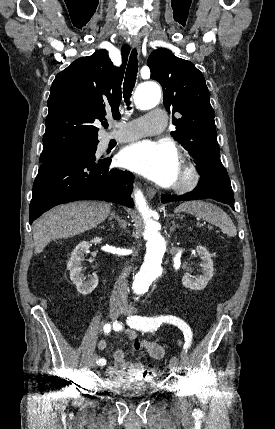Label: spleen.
Wrapping results in <instances>:
<instances>
[{"label": "spleen", "instance_id": "1", "mask_svg": "<svg viewBox=\"0 0 275 429\" xmlns=\"http://www.w3.org/2000/svg\"><path fill=\"white\" fill-rule=\"evenodd\" d=\"M175 212H185L214 224L229 237L237 235L231 218L218 206L204 201H190L179 205Z\"/></svg>", "mask_w": 275, "mask_h": 429}]
</instances>
